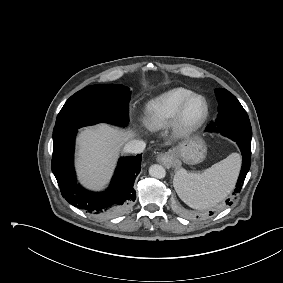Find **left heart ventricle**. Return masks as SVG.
Returning <instances> with one entry per match:
<instances>
[{
	"mask_svg": "<svg viewBox=\"0 0 283 283\" xmlns=\"http://www.w3.org/2000/svg\"><path fill=\"white\" fill-rule=\"evenodd\" d=\"M202 110V104L199 99H193L186 109V117L189 120L197 118Z\"/></svg>",
	"mask_w": 283,
	"mask_h": 283,
	"instance_id": "left-heart-ventricle-1",
	"label": "left heart ventricle"
}]
</instances>
